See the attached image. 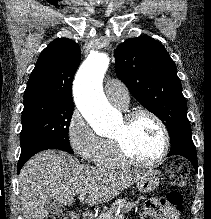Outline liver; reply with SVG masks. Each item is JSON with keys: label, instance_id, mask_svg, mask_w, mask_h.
Wrapping results in <instances>:
<instances>
[{"label": "liver", "instance_id": "6515ba94", "mask_svg": "<svg viewBox=\"0 0 211 219\" xmlns=\"http://www.w3.org/2000/svg\"><path fill=\"white\" fill-rule=\"evenodd\" d=\"M145 170L118 171L84 166L62 151L47 150L33 156L19 174V199L24 219H44L45 202L54 198L62 205L76 194L88 193V205L111 201L136 183Z\"/></svg>", "mask_w": 211, "mask_h": 219}]
</instances>
